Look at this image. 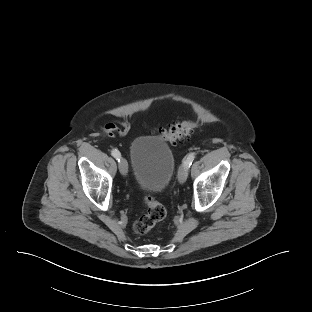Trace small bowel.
I'll list each match as a JSON object with an SVG mask.
<instances>
[{
  "instance_id": "obj_1",
  "label": "small bowel",
  "mask_w": 312,
  "mask_h": 312,
  "mask_svg": "<svg viewBox=\"0 0 312 312\" xmlns=\"http://www.w3.org/2000/svg\"><path fill=\"white\" fill-rule=\"evenodd\" d=\"M130 130V125L127 121L121 120L118 121V124L116 122H108L105 125L101 127V131L109 136H124L126 135Z\"/></svg>"
}]
</instances>
